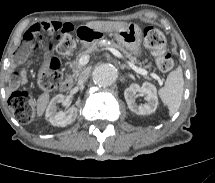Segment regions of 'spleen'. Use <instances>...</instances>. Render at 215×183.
<instances>
[{
    "label": "spleen",
    "instance_id": "3e777b00",
    "mask_svg": "<svg viewBox=\"0 0 215 183\" xmlns=\"http://www.w3.org/2000/svg\"><path fill=\"white\" fill-rule=\"evenodd\" d=\"M184 79L183 72L180 67L170 72L167 76L164 87L159 90V96L169 109V115H174L182 101Z\"/></svg>",
    "mask_w": 215,
    "mask_h": 183
}]
</instances>
